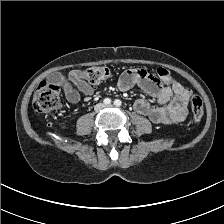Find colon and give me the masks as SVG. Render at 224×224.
Returning <instances> with one entry per match:
<instances>
[{"instance_id":"5ec220e1","label":"colon","mask_w":224,"mask_h":224,"mask_svg":"<svg viewBox=\"0 0 224 224\" xmlns=\"http://www.w3.org/2000/svg\"><path fill=\"white\" fill-rule=\"evenodd\" d=\"M159 77L166 82H171L173 77L171 73L164 68L157 70ZM82 77L92 85L99 84L111 78L112 72L104 66H91L84 69ZM60 102V88L56 84L42 82L37 87L33 97V107L38 113H48L57 108ZM190 107L192 119L199 122L203 116V101L199 95H192L190 98Z\"/></svg>"}]
</instances>
